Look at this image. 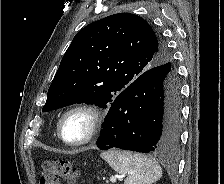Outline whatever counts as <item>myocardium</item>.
Wrapping results in <instances>:
<instances>
[{
    "mask_svg": "<svg viewBox=\"0 0 224 184\" xmlns=\"http://www.w3.org/2000/svg\"><path fill=\"white\" fill-rule=\"evenodd\" d=\"M78 112L85 113L89 116L90 118L89 130L87 134L85 135V137H83L82 139L78 141H70L64 137L63 125L65 120L71 114L78 113ZM104 119H105V115L99 106L92 103H78L68 108L62 114L58 122L57 133L61 141L68 146H71V147L84 146L90 143L91 141H93L97 137V135L99 134L103 126Z\"/></svg>",
    "mask_w": 224,
    "mask_h": 184,
    "instance_id": "obj_1",
    "label": "myocardium"
}]
</instances>
